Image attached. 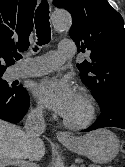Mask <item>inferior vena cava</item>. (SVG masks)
I'll use <instances>...</instances> for the list:
<instances>
[{
    "label": "inferior vena cava",
    "mask_w": 125,
    "mask_h": 167,
    "mask_svg": "<svg viewBox=\"0 0 125 167\" xmlns=\"http://www.w3.org/2000/svg\"><path fill=\"white\" fill-rule=\"evenodd\" d=\"M45 131V121L43 117V110L37 108L32 110L25 122V133L26 135L34 140L39 137ZM34 167H37L36 165Z\"/></svg>",
    "instance_id": "inferior-vena-cava-1"
}]
</instances>
